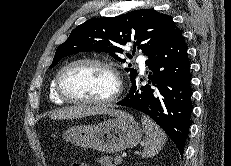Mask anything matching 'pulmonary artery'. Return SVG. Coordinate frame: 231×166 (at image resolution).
Here are the masks:
<instances>
[{
	"mask_svg": "<svg viewBox=\"0 0 231 166\" xmlns=\"http://www.w3.org/2000/svg\"><path fill=\"white\" fill-rule=\"evenodd\" d=\"M138 61H139V63H140L141 68L143 69V68L145 67L146 59L143 58V57H139V58H138Z\"/></svg>",
	"mask_w": 231,
	"mask_h": 166,
	"instance_id": "pulmonary-artery-1",
	"label": "pulmonary artery"
}]
</instances>
